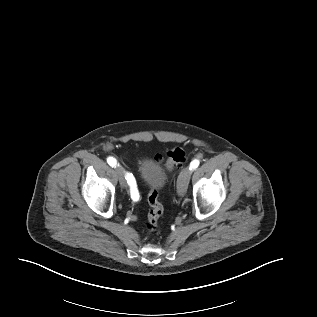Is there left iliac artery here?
Masks as SVG:
<instances>
[{
    "instance_id": "44dca946",
    "label": "left iliac artery",
    "mask_w": 317,
    "mask_h": 317,
    "mask_svg": "<svg viewBox=\"0 0 317 317\" xmlns=\"http://www.w3.org/2000/svg\"><path fill=\"white\" fill-rule=\"evenodd\" d=\"M200 162L198 159H194L191 163H190V170H194L199 166Z\"/></svg>"
}]
</instances>
